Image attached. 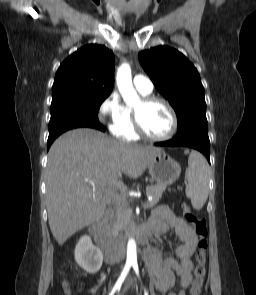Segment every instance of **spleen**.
<instances>
[{
    "label": "spleen",
    "instance_id": "3e777b00",
    "mask_svg": "<svg viewBox=\"0 0 256 295\" xmlns=\"http://www.w3.org/2000/svg\"><path fill=\"white\" fill-rule=\"evenodd\" d=\"M188 157V168L186 170V196L191 199L194 209L200 210L208 198L209 165L204 156L197 152L185 150Z\"/></svg>",
    "mask_w": 256,
    "mask_h": 295
}]
</instances>
